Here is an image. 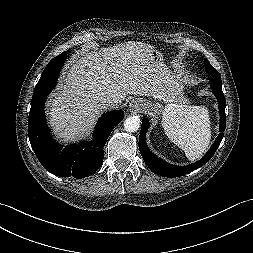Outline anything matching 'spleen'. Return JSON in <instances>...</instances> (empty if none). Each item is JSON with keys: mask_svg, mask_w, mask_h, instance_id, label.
I'll return each instance as SVG.
<instances>
[{"mask_svg": "<svg viewBox=\"0 0 253 253\" xmlns=\"http://www.w3.org/2000/svg\"><path fill=\"white\" fill-rule=\"evenodd\" d=\"M162 125L169 140L190 161L200 158L210 143V120L205 106L176 105L164 114Z\"/></svg>", "mask_w": 253, "mask_h": 253, "instance_id": "3e777b00", "label": "spleen"}]
</instances>
